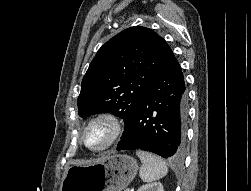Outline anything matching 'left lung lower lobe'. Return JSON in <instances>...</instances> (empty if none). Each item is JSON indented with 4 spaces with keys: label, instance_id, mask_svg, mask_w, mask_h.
I'll use <instances>...</instances> for the list:
<instances>
[{
    "label": "left lung lower lobe",
    "instance_id": "obj_1",
    "mask_svg": "<svg viewBox=\"0 0 251 191\" xmlns=\"http://www.w3.org/2000/svg\"><path fill=\"white\" fill-rule=\"evenodd\" d=\"M181 67L174 54L154 79L117 150L142 149L164 158L184 150L187 98Z\"/></svg>",
    "mask_w": 251,
    "mask_h": 191
}]
</instances>
